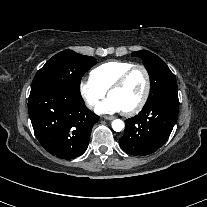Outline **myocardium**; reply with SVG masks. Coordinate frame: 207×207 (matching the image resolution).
Masks as SVG:
<instances>
[{
    "mask_svg": "<svg viewBox=\"0 0 207 207\" xmlns=\"http://www.w3.org/2000/svg\"><path fill=\"white\" fill-rule=\"evenodd\" d=\"M136 70H140L144 74L145 90H144V93H143L141 99L133 107L123 111L125 115H133V114L139 112L144 107V105L146 104V102L148 100V97H149L150 91H151V78H150V74H149L147 68L141 64L133 65L128 70H126L119 78H117L114 81V83L108 88V93H110L111 91H113L115 89L121 88L126 83V81L131 76V74L133 72H135Z\"/></svg>",
    "mask_w": 207,
    "mask_h": 207,
    "instance_id": "obj_1",
    "label": "myocardium"
}]
</instances>
